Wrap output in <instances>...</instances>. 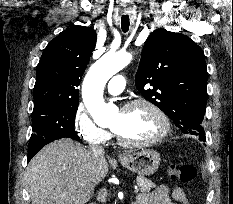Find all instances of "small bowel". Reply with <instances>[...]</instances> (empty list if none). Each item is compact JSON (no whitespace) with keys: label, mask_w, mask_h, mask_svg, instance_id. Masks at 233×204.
<instances>
[{"label":"small bowel","mask_w":233,"mask_h":204,"mask_svg":"<svg viewBox=\"0 0 233 204\" xmlns=\"http://www.w3.org/2000/svg\"><path fill=\"white\" fill-rule=\"evenodd\" d=\"M135 204H190V201L181 187L161 185L155 190L138 195Z\"/></svg>","instance_id":"obj_1"}]
</instances>
